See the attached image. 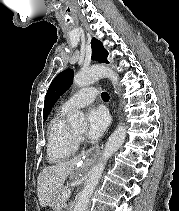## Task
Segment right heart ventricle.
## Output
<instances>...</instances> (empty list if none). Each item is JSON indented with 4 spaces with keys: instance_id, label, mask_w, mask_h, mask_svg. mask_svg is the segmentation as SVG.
Masks as SVG:
<instances>
[{
    "instance_id": "right-heart-ventricle-1",
    "label": "right heart ventricle",
    "mask_w": 179,
    "mask_h": 211,
    "mask_svg": "<svg viewBox=\"0 0 179 211\" xmlns=\"http://www.w3.org/2000/svg\"><path fill=\"white\" fill-rule=\"evenodd\" d=\"M68 111L59 109L47 129V157L52 164H61L77 151V140L67 123Z\"/></svg>"
}]
</instances>
